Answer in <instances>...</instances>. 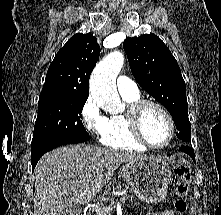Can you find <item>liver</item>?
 <instances>
[{
    "label": "liver",
    "instance_id": "obj_1",
    "mask_svg": "<svg viewBox=\"0 0 221 215\" xmlns=\"http://www.w3.org/2000/svg\"><path fill=\"white\" fill-rule=\"evenodd\" d=\"M145 158L85 144L46 153L34 170V215H65L71 206L89 203L121 163Z\"/></svg>",
    "mask_w": 221,
    "mask_h": 215
}]
</instances>
